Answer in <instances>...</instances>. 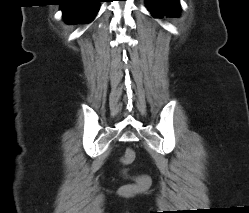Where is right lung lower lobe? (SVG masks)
Instances as JSON below:
<instances>
[{
	"label": "right lung lower lobe",
	"instance_id": "right-lung-lower-lobe-1",
	"mask_svg": "<svg viewBox=\"0 0 249 213\" xmlns=\"http://www.w3.org/2000/svg\"><path fill=\"white\" fill-rule=\"evenodd\" d=\"M101 0H63L61 9L68 23L91 21L99 10Z\"/></svg>",
	"mask_w": 249,
	"mask_h": 213
}]
</instances>
